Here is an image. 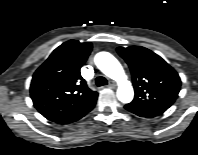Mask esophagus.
Segmentation results:
<instances>
[{"label":"esophagus","instance_id":"obj_1","mask_svg":"<svg viewBox=\"0 0 198 155\" xmlns=\"http://www.w3.org/2000/svg\"><path fill=\"white\" fill-rule=\"evenodd\" d=\"M108 86L110 88H114L116 86V83L114 81L110 80Z\"/></svg>","mask_w":198,"mask_h":155}]
</instances>
